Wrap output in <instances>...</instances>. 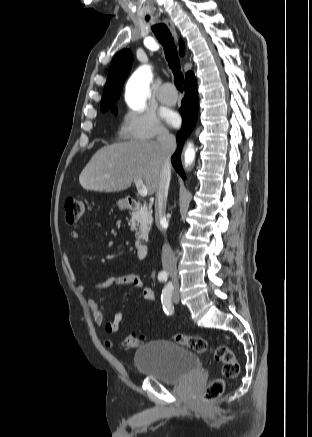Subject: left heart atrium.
Here are the masks:
<instances>
[{
    "mask_svg": "<svg viewBox=\"0 0 312 437\" xmlns=\"http://www.w3.org/2000/svg\"><path fill=\"white\" fill-rule=\"evenodd\" d=\"M166 121L171 125H176L179 122V116L176 112L169 111L165 115Z\"/></svg>",
    "mask_w": 312,
    "mask_h": 437,
    "instance_id": "39dd6f15",
    "label": "left heart atrium"
}]
</instances>
